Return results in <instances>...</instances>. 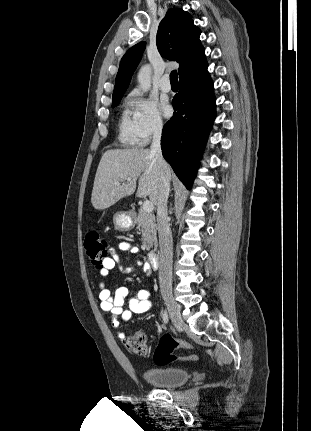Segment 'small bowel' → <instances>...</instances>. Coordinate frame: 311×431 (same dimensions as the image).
<instances>
[{
    "instance_id": "1",
    "label": "small bowel",
    "mask_w": 311,
    "mask_h": 431,
    "mask_svg": "<svg viewBox=\"0 0 311 431\" xmlns=\"http://www.w3.org/2000/svg\"><path fill=\"white\" fill-rule=\"evenodd\" d=\"M118 248L121 251H129L131 254H137L139 251L137 247L127 242L119 243ZM127 259H130V257H127ZM117 267L125 273H131L136 268H143L145 271H149V266L144 256H138L135 261V266L124 268L121 265V259L118 253L115 250H111L109 256H107L103 262L100 274L102 276H107ZM99 300L100 308L112 314V326L122 339H124V334L120 331V320L127 321L133 314L146 313L152 308L151 293L146 289L137 290L132 297H129V289L127 287H119L114 295H112L106 285L102 283L100 284ZM126 301L128 305L127 309L124 308Z\"/></svg>"
}]
</instances>
